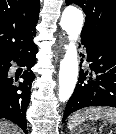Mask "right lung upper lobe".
<instances>
[{
    "instance_id": "cb5924a9",
    "label": "right lung upper lobe",
    "mask_w": 116,
    "mask_h": 134,
    "mask_svg": "<svg viewBox=\"0 0 116 134\" xmlns=\"http://www.w3.org/2000/svg\"><path fill=\"white\" fill-rule=\"evenodd\" d=\"M39 0H0V62L32 42Z\"/></svg>"
}]
</instances>
